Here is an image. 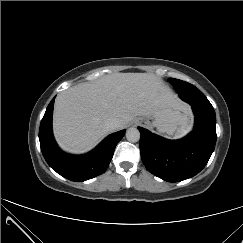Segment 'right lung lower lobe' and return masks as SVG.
I'll return each instance as SVG.
<instances>
[{
  "label": "right lung lower lobe",
  "instance_id": "98d812e1",
  "mask_svg": "<svg viewBox=\"0 0 243 243\" xmlns=\"http://www.w3.org/2000/svg\"><path fill=\"white\" fill-rule=\"evenodd\" d=\"M55 98L48 105L40 124L39 140L42 154L49 164L61 176L71 181H85L104 173L112 159L118 142L125 130L106 137L93 151L81 156L62 152L52 134V112Z\"/></svg>",
  "mask_w": 243,
  "mask_h": 243
}]
</instances>
